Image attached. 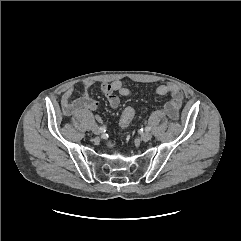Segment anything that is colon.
Returning <instances> with one entry per match:
<instances>
[{
  "label": "colon",
  "instance_id": "obj_1",
  "mask_svg": "<svg viewBox=\"0 0 241 241\" xmlns=\"http://www.w3.org/2000/svg\"><path fill=\"white\" fill-rule=\"evenodd\" d=\"M135 116V110L133 107H126L120 117V126L122 128H127Z\"/></svg>",
  "mask_w": 241,
  "mask_h": 241
}]
</instances>
